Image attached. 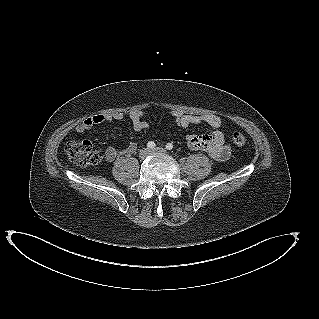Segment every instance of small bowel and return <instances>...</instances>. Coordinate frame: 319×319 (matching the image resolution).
I'll return each mask as SVG.
<instances>
[{"label":"small bowel","instance_id":"obj_1","mask_svg":"<svg viewBox=\"0 0 319 319\" xmlns=\"http://www.w3.org/2000/svg\"><path fill=\"white\" fill-rule=\"evenodd\" d=\"M147 115L142 110H134L129 114L133 128L136 131H141L149 127V123L144 120ZM169 115L174 119L176 125L180 128L186 129L192 125L207 124L210 128L208 132L201 134H188L186 136L187 146L191 150L205 151L209 156L219 162L227 160L231 155V147L226 142L224 133L221 131L222 119L217 114H188L181 110H173ZM123 119L122 113L113 114H97L86 118L82 123L76 126L77 134L92 129L94 126L110 122L113 120ZM137 145L135 142L128 143L123 148H116L109 146L104 150L101 159L106 162H112L120 156H130L135 153Z\"/></svg>","mask_w":319,"mask_h":319}]
</instances>
